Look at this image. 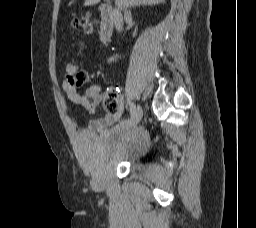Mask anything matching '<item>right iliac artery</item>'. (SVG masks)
I'll use <instances>...</instances> for the list:
<instances>
[{
  "label": "right iliac artery",
  "instance_id": "obj_1",
  "mask_svg": "<svg viewBox=\"0 0 256 228\" xmlns=\"http://www.w3.org/2000/svg\"><path fill=\"white\" fill-rule=\"evenodd\" d=\"M128 104L130 106V116L132 117L135 113L136 107H135L134 103L131 101H129Z\"/></svg>",
  "mask_w": 256,
  "mask_h": 228
}]
</instances>
